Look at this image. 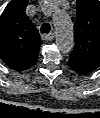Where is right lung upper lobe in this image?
Segmentation results:
<instances>
[{"mask_svg":"<svg viewBox=\"0 0 100 118\" xmlns=\"http://www.w3.org/2000/svg\"><path fill=\"white\" fill-rule=\"evenodd\" d=\"M28 0H12L0 16V57L16 71L33 66L42 43L25 13Z\"/></svg>","mask_w":100,"mask_h":118,"instance_id":"right-lung-upper-lobe-1","label":"right lung upper lobe"}]
</instances>
